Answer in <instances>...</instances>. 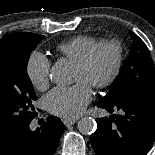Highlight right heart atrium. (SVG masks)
I'll list each match as a JSON object with an SVG mask.
<instances>
[{"mask_svg":"<svg viewBox=\"0 0 155 155\" xmlns=\"http://www.w3.org/2000/svg\"><path fill=\"white\" fill-rule=\"evenodd\" d=\"M51 62L42 53L34 51L26 63V74L30 83L37 90H44L50 80Z\"/></svg>","mask_w":155,"mask_h":155,"instance_id":"right-heart-atrium-1","label":"right heart atrium"}]
</instances>
